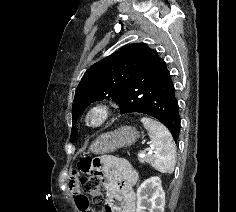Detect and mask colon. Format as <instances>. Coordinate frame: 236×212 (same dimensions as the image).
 I'll return each instance as SVG.
<instances>
[{
  "mask_svg": "<svg viewBox=\"0 0 236 212\" xmlns=\"http://www.w3.org/2000/svg\"><path fill=\"white\" fill-rule=\"evenodd\" d=\"M96 164L91 158L83 159L79 168L87 171L86 176L80 180V187L85 194L92 197L95 203L101 204L104 200L102 191V178L96 171Z\"/></svg>",
  "mask_w": 236,
  "mask_h": 212,
  "instance_id": "1",
  "label": "colon"
}]
</instances>
